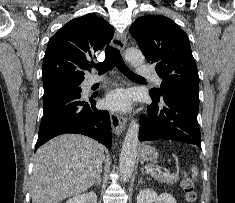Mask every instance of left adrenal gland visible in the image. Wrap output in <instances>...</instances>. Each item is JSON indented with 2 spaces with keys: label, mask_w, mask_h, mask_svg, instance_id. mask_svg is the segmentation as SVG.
Returning <instances> with one entry per match:
<instances>
[{
  "label": "left adrenal gland",
  "mask_w": 235,
  "mask_h": 203,
  "mask_svg": "<svg viewBox=\"0 0 235 203\" xmlns=\"http://www.w3.org/2000/svg\"><path fill=\"white\" fill-rule=\"evenodd\" d=\"M140 183H143V178L142 177L139 179V184Z\"/></svg>",
  "instance_id": "a2214340"
}]
</instances>
